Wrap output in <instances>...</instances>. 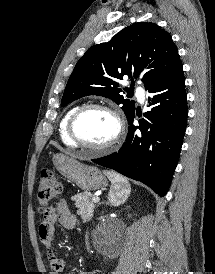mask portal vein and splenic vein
<instances>
[{
    "label": "portal vein and splenic vein",
    "mask_w": 215,
    "mask_h": 274,
    "mask_svg": "<svg viewBox=\"0 0 215 274\" xmlns=\"http://www.w3.org/2000/svg\"><path fill=\"white\" fill-rule=\"evenodd\" d=\"M99 197L98 196H94V197H92V201L94 202V203H98L99 202Z\"/></svg>",
    "instance_id": "portal-vein-and-splenic-vein-1"
}]
</instances>
